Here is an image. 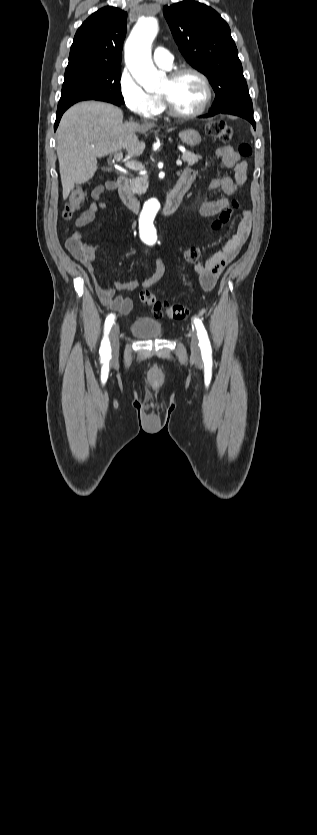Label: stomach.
<instances>
[{"instance_id":"1","label":"stomach","mask_w":317,"mask_h":835,"mask_svg":"<svg viewBox=\"0 0 317 835\" xmlns=\"http://www.w3.org/2000/svg\"><path fill=\"white\" fill-rule=\"evenodd\" d=\"M179 137L185 144L195 147L201 143L199 132L194 129H185L179 132Z\"/></svg>"}]
</instances>
